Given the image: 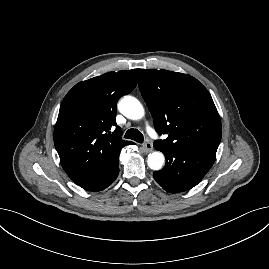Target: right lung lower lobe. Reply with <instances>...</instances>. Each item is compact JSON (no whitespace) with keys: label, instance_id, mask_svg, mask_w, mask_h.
<instances>
[{"label":"right lung lower lobe","instance_id":"98d812e1","mask_svg":"<svg viewBox=\"0 0 269 269\" xmlns=\"http://www.w3.org/2000/svg\"><path fill=\"white\" fill-rule=\"evenodd\" d=\"M119 173L118 156L96 174L93 178L80 184L82 188L89 191H101L107 188L117 178Z\"/></svg>","mask_w":269,"mask_h":269}]
</instances>
